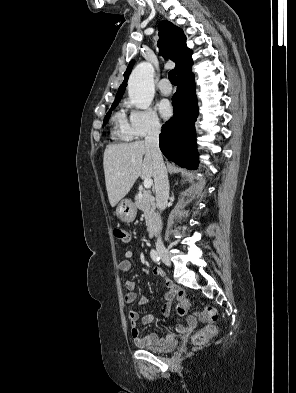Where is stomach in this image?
Returning a JSON list of instances; mask_svg holds the SVG:
<instances>
[{
  "instance_id": "1",
  "label": "stomach",
  "mask_w": 296,
  "mask_h": 393,
  "mask_svg": "<svg viewBox=\"0 0 296 393\" xmlns=\"http://www.w3.org/2000/svg\"><path fill=\"white\" fill-rule=\"evenodd\" d=\"M116 214L123 222H132L136 217L137 210L130 200L124 199L118 204Z\"/></svg>"
}]
</instances>
